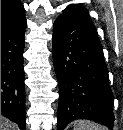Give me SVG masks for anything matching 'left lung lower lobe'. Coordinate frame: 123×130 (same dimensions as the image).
<instances>
[{"mask_svg": "<svg viewBox=\"0 0 123 130\" xmlns=\"http://www.w3.org/2000/svg\"><path fill=\"white\" fill-rule=\"evenodd\" d=\"M53 62L59 83L58 130L74 119L113 128V93L96 28L65 8L53 25Z\"/></svg>", "mask_w": 123, "mask_h": 130, "instance_id": "0a47b994", "label": "left lung lower lobe"}]
</instances>
